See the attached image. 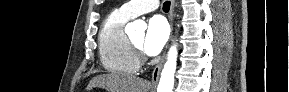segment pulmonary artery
<instances>
[{"label":"pulmonary artery","instance_id":"pulmonary-artery-1","mask_svg":"<svg viewBox=\"0 0 289 92\" xmlns=\"http://www.w3.org/2000/svg\"><path fill=\"white\" fill-rule=\"evenodd\" d=\"M159 6L158 0H133L125 3L119 8V11L129 17H136L157 9Z\"/></svg>","mask_w":289,"mask_h":92}]
</instances>
